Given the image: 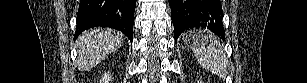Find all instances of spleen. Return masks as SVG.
<instances>
[{"label":"spleen","mask_w":307,"mask_h":83,"mask_svg":"<svg viewBox=\"0 0 307 83\" xmlns=\"http://www.w3.org/2000/svg\"><path fill=\"white\" fill-rule=\"evenodd\" d=\"M184 39L192 43L195 58L205 70L225 76L228 64L226 54L214 35L198 30L189 32Z\"/></svg>","instance_id":"spleen-1"}]
</instances>
